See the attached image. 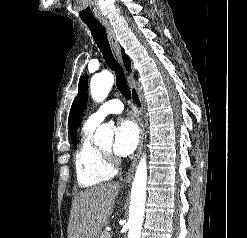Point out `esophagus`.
Returning a JSON list of instances; mask_svg holds the SVG:
<instances>
[{
  "mask_svg": "<svg viewBox=\"0 0 247 238\" xmlns=\"http://www.w3.org/2000/svg\"><path fill=\"white\" fill-rule=\"evenodd\" d=\"M101 24L105 27L109 41L112 45V48L114 50L115 55L117 56L118 60L121 62L122 64V57H121V51H120V46L118 44V41L116 39V35L115 32L113 30L112 25L110 24V22L106 19H102L100 20ZM136 120L139 126V132H140V139H139V144H138V148H137V152L135 154V157L125 175V178L123 180V182L125 184H128L131 182L133 175H134V171L142 150V146H143V138H144V123H143V118H142V114L141 111L139 109L138 106H136Z\"/></svg>",
  "mask_w": 247,
  "mask_h": 238,
  "instance_id": "34e87169",
  "label": "esophagus"
}]
</instances>
